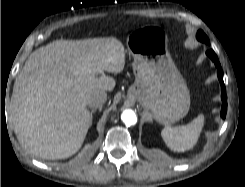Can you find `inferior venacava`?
I'll return each instance as SVG.
<instances>
[{
  "mask_svg": "<svg viewBox=\"0 0 245 187\" xmlns=\"http://www.w3.org/2000/svg\"><path fill=\"white\" fill-rule=\"evenodd\" d=\"M107 100V94L105 91H96L92 93L87 99V105L90 108H100Z\"/></svg>",
  "mask_w": 245,
  "mask_h": 187,
  "instance_id": "1",
  "label": "inferior vena cava"
}]
</instances>
